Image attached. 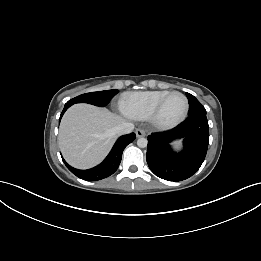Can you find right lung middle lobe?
<instances>
[{"mask_svg":"<svg viewBox=\"0 0 261 261\" xmlns=\"http://www.w3.org/2000/svg\"><path fill=\"white\" fill-rule=\"evenodd\" d=\"M118 90H105L99 92H91L79 95L69 100L65 105H73L75 103H88L96 106L103 107L109 103L113 96L116 95Z\"/></svg>","mask_w":261,"mask_h":261,"instance_id":"right-lung-middle-lobe-1","label":"right lung middle lobe"}]
</instances>
